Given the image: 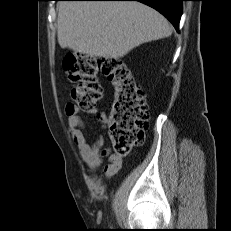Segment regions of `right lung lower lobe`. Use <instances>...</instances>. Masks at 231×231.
<instances>
[{
  "label": "right lung lower lobe",
  "mask_w": 231,
  "mask_h": 231,
  "mask_svg": "<svg viewBox=\"0 0 231 231\" xmlns=\"http://www.w3.org/2000/svg\"><path fill=\"white\" fill-rule=\"evenodd\" d=\"M84 1V0H83ZM85 1H139L163 14L179 30L183 0H85Z\"/></svg>",
  "instance_id": "98d812e1"
}]
</instances>
